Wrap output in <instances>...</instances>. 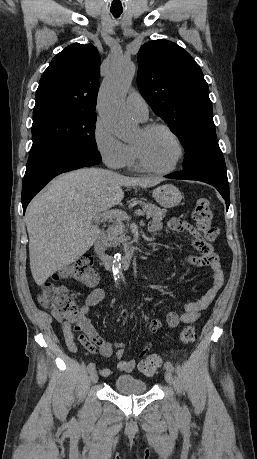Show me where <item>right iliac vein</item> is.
I'll use <instances>...</instances> for the list:
<instances>
[{"instance_id":"1","label":"right iliac vein","mask_w":257,"mask_h":459,"mask_svg":"<svg viewBox=\"0 0 257 459\" xmlns=\"http://www.w3.org/2000/svg\"><path fill=\"white\" fill-rule=\"evenodd\" d=\"M98 378H99V377H98L97 372H96L95 370L92 371L91 374H90L91 382H92V383H96V382L98 381Z\"/></svg>"}]
</instances>
